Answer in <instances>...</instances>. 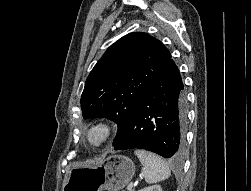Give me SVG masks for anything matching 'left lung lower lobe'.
Instances as JSON below:
<instances>
[{
  "instance_id": "obj_1",
  "label": "left lung lower lobe",
  "mask_w": 251,
  "mask_h": 191,
  "mask_svg": "<svg viewBox=\"0 0 251 191\" xmlns=\"http://www.w3.org/2000/svg\"><path fill=\"white\" fill-rule=\"evenodd\" d=\"M183 89L178 67L170 59L135 109L114 149H145L164 158L180 156L186 119Z\"/></svg>"
}]
</instances>
